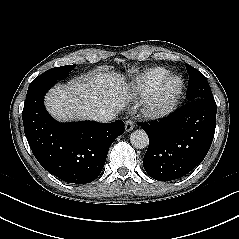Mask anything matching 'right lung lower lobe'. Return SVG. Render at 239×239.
I'll use <instances>...</instances> for the list:
<instances>
[{"label":"right lung lower lobe","mask_w":239,"mask_h":239,"mask_svg":"<svg viewBox=\"0 0 239 239\" xmlns=\"http://www.w3.org/2000/svg\"><path fill=\"white\" fill-rule=\"evenodd\" d=\"M53 85L27 91L22 112L26 138L35 158L49 173L68 183H90L102 171L110 145L124 133V122L55 121L43 103Z\"/></svg>","instance_id":"98d812e1"}]
</instances>
